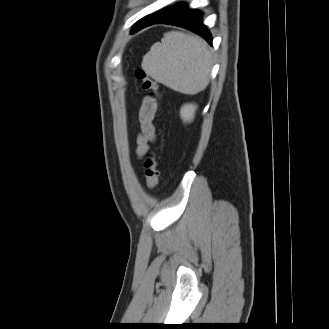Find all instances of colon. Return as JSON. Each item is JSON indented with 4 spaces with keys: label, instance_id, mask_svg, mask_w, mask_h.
I'll return each instance as SVG.
<instances>
[{
    "label": "colon",
    "instance_id": "5ec220e1",
    "mask_svg": "<svg viewBox=\"0 0 329 329\" xmlns=\"http://www.w3.org/2000/svg\"><path fill=\"white\" fill-rule=\"evenodd\" d=\"M135 75L142 89L148 91L149 99L155 103L156 107H160L162 95L157 82L143 69H137ZM144 168L147 188L153 190L158 184L160 175L159 159L156 150H150L146 153Z\"/></svg>",
    "mask_w": 329,
    "mask_h": 329
}]
</instances>
